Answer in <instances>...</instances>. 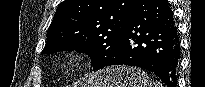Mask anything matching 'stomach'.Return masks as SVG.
I'll return each mask as SVG.
<instances>
[{"label":"stomach","mask_w":205,"mask_h":87,"mask_svg":"<svg viewBox=\"0 0 205 87\" xmlns=\"http://www.w3.org/2000/svg\"><path fill=\"white\" fill-rule=\"evenodd\" d=\"M80 87H151V81L140 68L114 66L90 74Z\"/></svg>","instance_id":"1"}]
</instances>
